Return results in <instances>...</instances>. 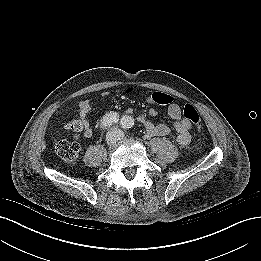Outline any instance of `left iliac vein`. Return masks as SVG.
Listing matches in <instances>:
<instances>
[{"mask_svg": "<svg viewBox=\"0 0 261 261\" xmlns=\"http://www.w3.org/2000/svg\"><path fill=\"white\" fill-rule=\"evenodd\" d=\"M115 134L117 135V139L118 140H123L125 138V134L123 131L119 130V129H114Z\"/></svg>", "mask_w": 261, "mask_h": 261, "instance_id": "4c4485c4", "label": "left iliac vein"}]
</instances>
